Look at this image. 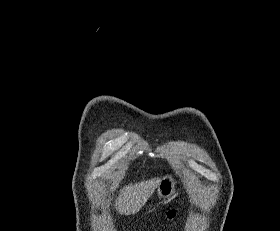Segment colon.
I'll return each mask as SVG.
<instances>
[{
  "label": "colon",
  "mask_w": 280,
  "mask_h": 231,
  "mask_svg": "<svg viewBox=\"0 0 280 231\" xmlns=\"http://www.w3.org/2000/svg\"><path fill=\"white\" fill-rule=\"evenodd\" d=\"M177 212V209L176 208H169L168 209V212H167V219L168 220H171L172 219V215L173 213H176Z\"/></svg>",
  "instance_id": "5ec220e1"
}]
</instances>
